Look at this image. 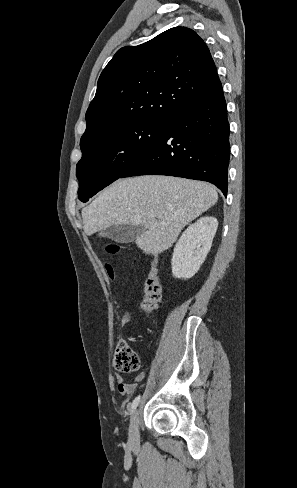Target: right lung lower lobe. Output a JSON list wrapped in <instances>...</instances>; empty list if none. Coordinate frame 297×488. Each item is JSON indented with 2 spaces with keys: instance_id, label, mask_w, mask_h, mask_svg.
<instances>
[{
  "instance_id": "obj_1",
  "label": "right lung lower lobe",
  "mask_w": 297,
  "mask_h": 488,
  "mask_svg": "<svg viewBox=\"0 0 297 488\" xmlns=\"http://www.w3.org/2000/svg\"><path fill=\"white\" fill-rule=\"evenodd\" d=\"M230 156L227 106L222 88L179 112L120 178L168 175L208 181L227 196Z\"/></svg>"
}]
</instances>
